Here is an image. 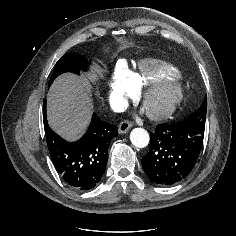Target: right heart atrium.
<instances>
[{
	"instance_id": "d8ad5b80",
	"label": "right heart atrium",
	"mask_w": 236,
	"mask_h": 236,
	"mask_svg": "<svg viewBox=\"0 0 236 236\" xmlns=\"http://www.w3.org/2000/svg\"><path fill=\"white\" fill-rule=\"evenodd\" d=\"M135 95L130 82V69L124 64L116 65L108 83V101L119 108L126 104L127 100Z\"/></svg>"
}]
</instances>
